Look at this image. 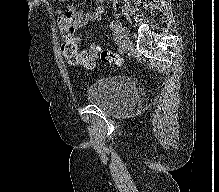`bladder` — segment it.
Segmentation results:
<instances>
[{
    "instance_id": "31cf9c89",
    "label": "bladder",
    "mask_w": 219,
    "mask_h": 192,
    "mask_svg": "<svg viewBox=\"0 0 219 192\" xmlns=\"http://www.w3.org/2000/svg\"><path fill=\"white\" fill-rule=\"evenodd\" d=\"M137 96L135 82L121 76L91 82L84 91L87 102L113 115L129 110Z\"/></svg>"
}]
</instances>
